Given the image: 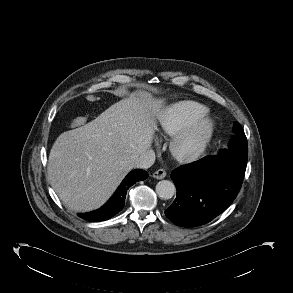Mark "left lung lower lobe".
<instances>
[{"label": "left lung lower lobe", "mask_w": 293, "mask_h": 293, "mask_svg": "<svg viewBox=\"0 0 293 293\" xmlns=\"http://www.w3.org/2000/svg\"><path fill=\"white\" fill-rule=\"evenodd\" d=\"M247 141L218 155L180 166L171 173L177 197L165 211L174 224L195 227L210 222L236 198L245 174Z\"/></svg>", "instance_id": "1"}]
</instances>
